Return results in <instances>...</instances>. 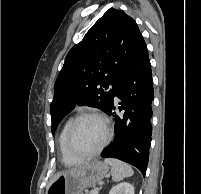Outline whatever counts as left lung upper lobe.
<instances>
[{
  "label": "left lung upper lobe",
  "instance_id": "1",
  "mask_svg": "<svg viewBox=\"0 0 201 194\" xmlns=\"http://www.w3.org/2000/svg\"><path fill=\"white\" fill-rule=\"evenodd\" d=\"M143 42L133 18L113 8L104 13L69 51L57 77L50 107L53 134L76 105L109 110Z\"/></svg>",
  "mask_w": 201,
  "mask_h": 194
}]
</instances>
